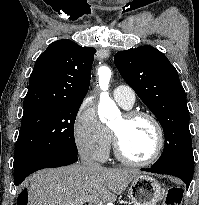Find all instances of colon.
<instances>
[{
    "mask_svg": "<svg viewBox=\"0 0 199 205\" xmlns=\"http://www.w3.org/2000/svg\"><path fill=\"white\" fill-rule=\"evenodd\" d=\"M183 189L179 186H172L167 190L162 205H182Z\"/></svg>",
    "mask_w": 199,
    "mask_h": 205,
    "instance_id": "obj_1",
    "label": "colon"
}]
</instances>
